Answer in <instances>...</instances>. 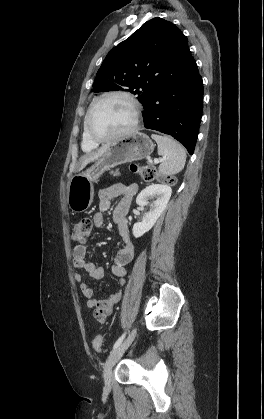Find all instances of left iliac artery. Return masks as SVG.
<instances>
[{
	"mask_svg": "<svg viewBox=\"0 0 264 419\" xmlns=\"http://www.w3.org/2000/svg\"><path fill=\"white\" fill-rule=\"evenodd\" d=\"M125 336H126V332H124L120 337H119V339L115 342V344H114V346H113V349H115V348H117L121 343H122V341H123V339L125 338Z\"/></svg>",
	"mask_w": 264,
	"mask_h": 419,
	"instance_id": "44dca946",
	"label": "left iliac artery"
}]
</instances>
